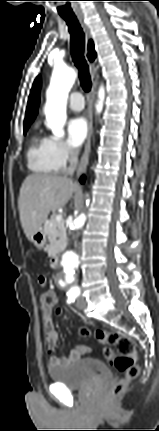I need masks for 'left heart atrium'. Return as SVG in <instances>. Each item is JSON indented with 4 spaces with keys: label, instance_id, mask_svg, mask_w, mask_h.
<instances>
[{
    "label": "left heart atrium",
    "instance_id": "39dd6f15",
    "mask_svg": "<svg viewBox=\"0 0 159 431\" xmlns=\"http://www.w3.org/2000/svg\"><path fill=\"white\" fill-rule=\"evenodd\" d=\"M69 142L72 146L78 147L85 140L88 132L86 119L75 117L71 119L67 126Z\"/></svg>",
    "mask_w": 159,
    "mask_h": 431
}]
</instances>
